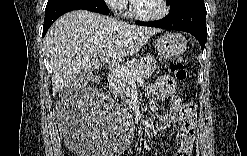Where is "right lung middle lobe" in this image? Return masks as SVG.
<instances>
[{
	"label": "right lung middle lobe",
	"instance_id": "dd1d6c3e",
	"mask_svg": "<svg viewBox=\"0 0 247 156\" xmlns=\"http://www.w3.org/2000/svg\"><path fill=\"white\" fill-rule=\"evenodd\" d=\"M58 1H59V0H48L47 5L52 4V3H56V2H58Z\"/></svg>",
	"mask_w": 247,
	"mask_h": 156
}]
</instances>
